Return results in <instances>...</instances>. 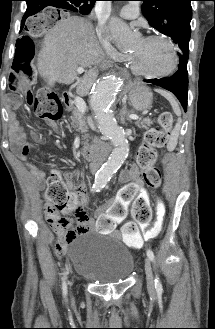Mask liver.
I'll list each match as a JSON object with an SVG mask.
<instances>
[{
	"instance_id": "1",
	"label": "liver",
	"mask_w": 215,
	"mask_h": 329,
	"mask_svg": "<svg viewBox=\"0 0 215 329\" xmlns=\"http://www.w3.org/2000/svg\"><path fill=\"white\" fill-rule=\"evenodd\" d=\"M99 65L102 69L107 66L93 26L78 16H67L56 23L45 35L37 58V70L49 86L56 81L69 85L77 79L78 67H89L78 82L81 96L96 79Z\"/></svg>"
}]
</instances>
